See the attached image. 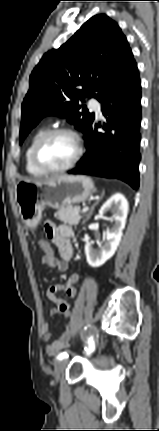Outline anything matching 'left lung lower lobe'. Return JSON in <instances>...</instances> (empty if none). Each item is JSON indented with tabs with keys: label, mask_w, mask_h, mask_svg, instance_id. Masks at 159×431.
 <instances>
[{
	"label": "left lung lower lobe",
	"mask_w": 159,
	"mask_h": 431,
	"mask_svg": "<svg viewBox=\"0 0 159 431\" xmlns=\"http://www.w3.org/2000/svg\"><path fill=\"white\" fill-rule=\"evenodd\" d=\"M106 118L85 134L86 154L69 174L117 178L139 187L141 82L135 60L101 101ZM99 127L103 132H98Z\"/></svg>",
	"instance_id": "obj_1"
}]
</instances>
